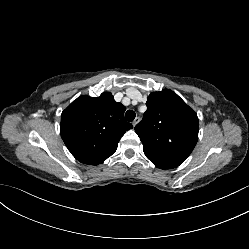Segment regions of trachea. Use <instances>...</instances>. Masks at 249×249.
Masks as SVG:
<instances>
[{
  "label": "trachea",
  "instance_id": "3493384b",
  "mask_svg": "<svg viewBox=\"0 0 249 249\" xmlns=\"http://www.w3.org/2000/svg\"><path fill=\"white\" fill-rule=\"evenodd\" d=\"M136 117V114L132 110H128L125 114V118L127 121L132 122Z\"/></svg>",
  "mask_w": 249,
  "mask_h": 249
}]
</instances>
